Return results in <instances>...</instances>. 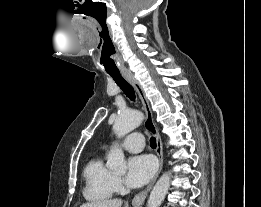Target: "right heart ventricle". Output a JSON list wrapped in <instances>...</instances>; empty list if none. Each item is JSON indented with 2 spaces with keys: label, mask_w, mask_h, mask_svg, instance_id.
<instances>
[{
  "label": "right heart ventricle",
  "mask_w": 261,
  "mask_h": 207,
  "mask_svg": "<svg viewBox=\"0 0 261 207\" xmlns=\"http://www.w3.org/2000/svg\"><path fill=\"white\" fill-rule=\"evenodd\" d=\"M85 179L84 197L89 201L110 199L115 192V175L102 157L89 160L83 171Z\"/></svg>",
  "instance_id": "obj_1"
}]
</instances>
